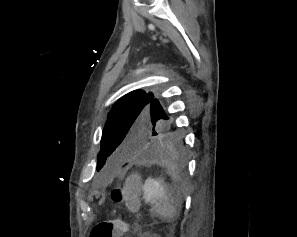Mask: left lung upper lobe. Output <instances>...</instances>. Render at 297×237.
Here are the masks:
<instances>
[{
  "label": "left lung upper lobe",
  "instance_id": "left-lung-upper-lobe-1",
  "mask_svg": "<svg viewBox=\"0 0 297 237\" xmlns=\"http://www.w3.org/2000/svg\"><path fill=\"white\" fill-rule=\"evenodd\" d=\"M153 93L135 90L121 97L108 114L98 153L97 171L107 157L114 161L145 157L160 133L169 127Z\"/></svg>",
  "mask_w": 297,
  "mask_h": 237
}]
</instances>
